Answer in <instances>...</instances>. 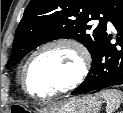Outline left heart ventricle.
Instances as JSON below:
<instances>
[{"mask_svg":"<svg viewBox=\"0 0 123 113\" xmlns=\"http://www.w3.org/2000/svg\"><path fill=\"white\" fill-rule=\"evenodd\" d=\"M77 70L78 58L72 49L64 46L50 48L30 63L26 85L31 93L48 94L74 78Z\"/></svg>","mask_w":123,"mask_h":113,"instance_id":"left-heart-ventricle-1","label":"left heart ventricle"}]
</instances>
